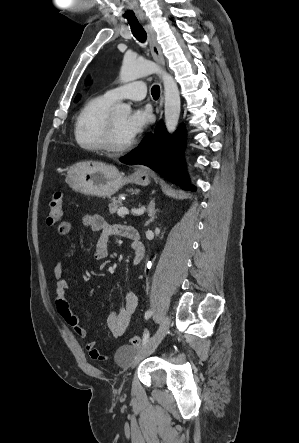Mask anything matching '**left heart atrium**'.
Here are the masks:
<instances>
[{
  "mask_svg": "<svg viewBox=\"0 0 299 443\" xmlns=\"http://www.w3.org/2000/svg\"><path fill=\"white\" fill-rule=\"evenodd\" d=\"M149 121L150 113L147 109H134L130 115L126 117L123 124V130L125 134L133 140L146 128Z\"/></svg>",
  "mask_w": 299,
  "mask_h": 443,
  "instance_id": "39dd6f15",
  "label": "left heart atrium"
}]
</instances>
